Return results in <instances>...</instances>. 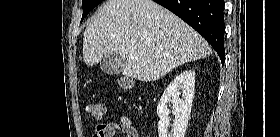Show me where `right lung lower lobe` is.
I'll return each mask as SVG.
<instances>
[{
    "label": "right lung lower lobe",
    "mask_w": 280,
    "mask_h": 137,
    "mask_svg": "<svg viewBox=\"0 0 280 137\" xmlns=\"http://www.w3.org/2000/svg\"><path fill=\"white\" fill-rule=\"evenodd\" d=\"M154 1L169 9L200 33L218 53L221 63H224V0Z\"/></svg>",
    "instance_id": "obj_1"
}]
</instances>
